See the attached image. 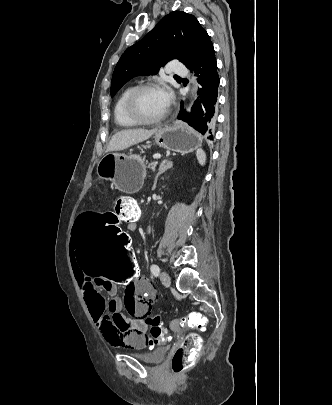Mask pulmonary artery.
I'll return each mask as SVG.
<instances>
[{
	"label": "pulmonary artery",
	"instance_id": "e3ab8cb5",
	"mask_svg": "<svg viewBox=\"0 0 332 405\" xmlns=\"http://www.w3.org/2000/svg\"><path fill=\"white\" fill-rule=\"evenodd\" d=\"M169 71L176 75H186L187 73L186 68L176 60L170 62Z\"/></svg>",
	"mask_w": 332,
	"mask_h": 405
}]
</instances>
